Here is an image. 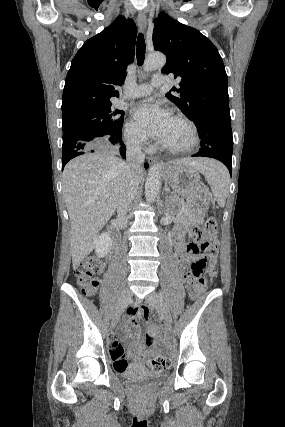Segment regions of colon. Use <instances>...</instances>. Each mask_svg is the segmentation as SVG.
<instances>
[{
  "label": "colon",
  "mask_w": 285,
  "mask_h": 427,
  "mask_svg": "<svg viewBox=\"0 0 285 427\" xmlns=\"http://www.w3.org/2000/svg\"><path fill=\"white\" fill-rule=\"evenodd\" d=\"M218 232V223L215 218H209L205 221L201 228L193 230L192 234L194 241L185 247V252L189 261V265L184 272V276L189 285V291L193 296H196L204 283V274H215V263L211 261L207 265V259L201 255L207 253L214 258L217 255L218 249L216 246V235ZM103 273V264L96 258L82 259L75 264V275L78 285L81 287V292L85 296L92 295L95 288L99 284V277ZM130 309L128 313H132ZM127 362L119 364L120 368H124ZM147 365L152 370H164L169 368L170 359L167 356H156L147 361Z\"/></svg>",
  "instance_id": "5ec220e1"
}]
</instances>
